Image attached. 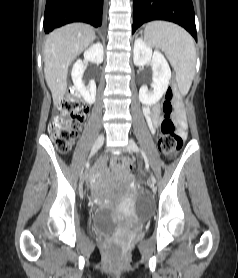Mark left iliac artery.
I'll return each instance as SVG.
<instances>
[{
	"mask_svg": "<svg viewBox=\"0 0 238 278\" xmlns=\"http://www.w3.org/2000/svg\"><path fill=\"white\" fill-rule=\"evenodd\" d=\"M141 154H142V156H143V158H144V160H145L146 165H148L147 156H146L145 152H144L142 149H141Z\"/></svg>",
	"mask_w": 238,
	"mask_h": 278,
	"instance_id": "left-iliac-artery-1",
	"label": "left iliac artery"
}]
</instances>
